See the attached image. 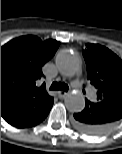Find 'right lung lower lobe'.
I'll return each mask as SVG.
<instances>
[{
  "mask_svg": "<svg viewBox=\"0 0 122 154\" xmlns=\"http://www.w3.org/2000/svg\"><path fill=\"white\" fill-rule=\"evenodd\" d=\"M51 107H52V105L45 112L31 117V118L21 122L20 124L16 125L15 127L26 128V127H32V126L39 124L40 122H42L47 117V115L50 112Z\"/></svg>",
  "mask_w": 122,
  "mask_h": 154,
  "instance_id": "right-lung-lower-lobe-1",
  "label": "right lung lower lobe"
}]
</instances>
